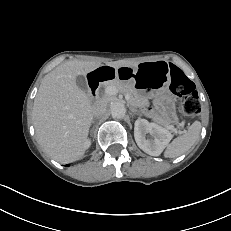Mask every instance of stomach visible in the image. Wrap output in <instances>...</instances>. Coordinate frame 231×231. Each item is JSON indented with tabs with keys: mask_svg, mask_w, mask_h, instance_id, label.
I'll return each instance as SVG.
<instances>
[{
	"mask_svg": "<svg viewBox=\"0 0 231 231\" xmlns=\"http://www.w3.org/2000/svg\"><path fill=\"white\" fill-rule=\"evenodd\" d=\"M126 68L130 72L129 81L137 91L154 98V105L164 124H178L175 98L169 91L170 66L166 61L140 62L136 67Z\"/></svg>",
	"mask_w": 231,
	"mask_h": 231,
	"instance_id": "0dacf381",
	"label": "stomach"
}]
</instances>
